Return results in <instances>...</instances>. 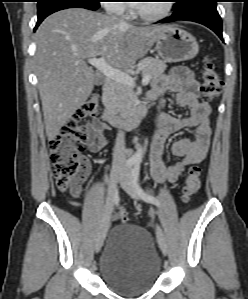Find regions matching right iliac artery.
Masks as SVG:
<instances>
[{
  "label": "right iliac artery",
  "instance_id": "1",
  "mask_svg": "<svg viewBox=\"0 0 248 299\" xmlns=\"http://www.w3.org/2000/svg\"><path fill=\"white\" fill-rule=\"evenodd\" d=\"M135 160H133V159H128L127 161H126V167H131V166H133L134 164H135Z\"/></svg>",
  "mask_w": 248,
  "mask_h": 299
}]
</instances>
